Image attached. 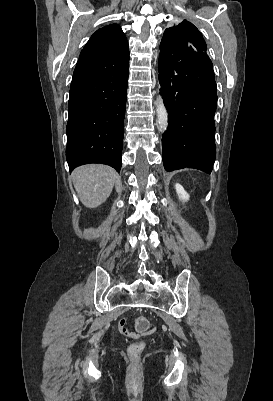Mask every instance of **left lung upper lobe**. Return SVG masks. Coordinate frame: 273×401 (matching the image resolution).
I'll return each mask as SVG.
<instances>
[{
    "label": "left lung upper lobe",
    "mask_w": 273,
    "mask_h": 401,
    "mask_svg": "<svg viewBox=\"0 0 273 401\" xmlns=\"http://www.w3.org/2000/svg\"><path fill=\"white\" fill-rule=\"evenodd\" d=\"M161 44L169 47L190 46L197 51L206 52L207 47L199 30L189 21L183 20L179 25L167 28Z\"/></svg>",
    "instance_id": "1"
}]
</instances>
